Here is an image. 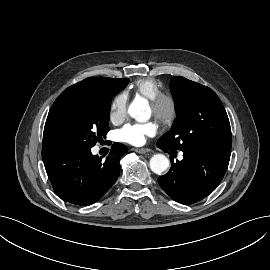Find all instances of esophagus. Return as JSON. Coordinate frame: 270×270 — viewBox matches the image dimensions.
<instances>
[{"mask_svg":"<svg viewBox=\"0 0 270 270\" xmlns=\"http://www.w3.org/2000/svg\"><path fill=\"white\" fill-rule=\"evenodd\" d=\"M133 150L137 153H140V154H146V153H149L151 151L148 148H134Z\"/></svg>","mask_w":270,"mask_h":270,"instance_id":"34e87169","label":"esophagus"}]
</instances>
